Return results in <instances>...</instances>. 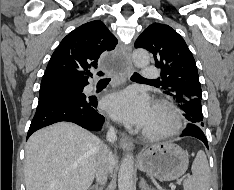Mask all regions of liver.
<instances>
[{"label":"liver","instance_id":"obj_1","mask_svg":"<svg viewBox=\"0 0 234 190\" xmlns=\"http://www.w3.org/2000/svg\"><path fill=\"white\" fill-rule=\"evenodd\" d=\"M105 145L89 131L59 122L35 132L25 149L26 190H87ZM115 165L110 160V169Z\"/></svg>","mask_w":234,"mask_h":190}]
</instances>
